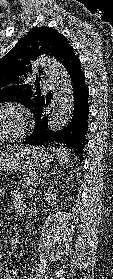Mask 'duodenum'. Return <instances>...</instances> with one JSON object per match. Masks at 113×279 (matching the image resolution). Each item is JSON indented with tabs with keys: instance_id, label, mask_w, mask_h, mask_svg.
<instances>
[{
	"instance_id": "410a0bca",
	"label": "duodenum",
	"mask_w": 113,
	"mask_h": 279,
	"mask_svg": "<svg viewBox=\"0 0 113 279\" xmlns=\"http://www.w3.org/2000/svg\"><path fill=\"white\" fill-rule=\"evenodd\" d=\"M15 209H16V213H17L18 215H22V214L24 213V205H23L22 203H17V204L15 205ZM17 242H18L17 239H14V240H13V243H14V244H16Z\"/></svg>"
}]
</instances>
